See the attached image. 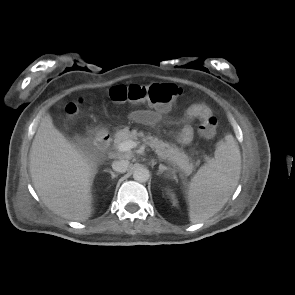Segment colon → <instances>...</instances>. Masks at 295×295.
<instances>
[{
  "mask_svg": "<svg viewBox=\"0 0 295 295\" xmlns=\"http://www.w3.org/2000/svg\"><path fill=\"white\" fill-rule=\"evenodd\" d=\"M106 95L115 103L148 104L159 110H168L182 95V89L169 83L117 85L109 88ZM81 104V100L69 103L66 113L76 114ZM199 131L206 138L214 137L217 131L216 118L213 115L205 117Z\"/></svg>",
  "mask_w": 295,
  "mask_h": 295,
  "instance_id": "obj_1",
  "label": "colon"
}]
</instances>
